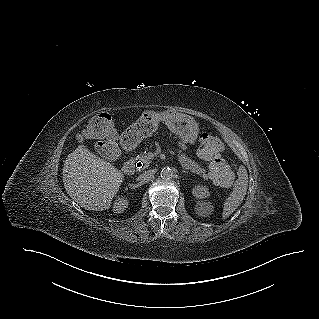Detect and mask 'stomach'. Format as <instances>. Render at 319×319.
<instances>
[{
	"label": "stomach",
	"instance_id": "1",
	"mask_svg": "<svg viewBox=\"0 0 319 319\" xmlns=\"http://www.w3.org/2000/svg\"><path fill=\"white\" fill-rule=\"evenodd\" d=\"M163 120L167 127L186 143L194 144L198 137V124L191 116L176 111H166L162 114H153L151 111H140L132 125L125 131L137 142L147 137Z\"/></svg>",
	"mask_w": 319,
	"mask_h": 319
}]
</instances>
